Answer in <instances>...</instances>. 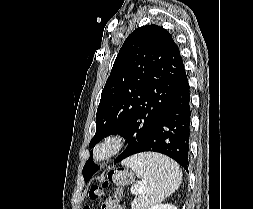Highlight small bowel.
Listing matches in <instances>:
<instances>
[{"label": "small bowel", "mask_w": 253, "mask_h": 209, "mask_svg": "<svg viewBox=\"0 0 253 209\" xmlns=\"http://www.w3.org/2000/svg\"><path fill=\"white\" fill-rule=\"evenodd\" d=\"M118 209H122L120 206H118Z\"/></svg>", "instance_id": "small-bowel-1"}]
</instances>
